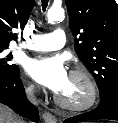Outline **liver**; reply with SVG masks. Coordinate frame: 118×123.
<instances>
[{
    "instance_id": "1",
    "label": "liver",
    "mask_w": 118,
    "mask_h": 123,
    "mask_svg": "<svg viewBox=\"0 0 118 123\" xmlns=\"http://www.w3.org/2000/svg\"><path fill=\"white\" fill-rule=\"evenodd\" d=\"M0 123H22V121L10 108L0 103Z\"/></svg>"
}]
</instances>
